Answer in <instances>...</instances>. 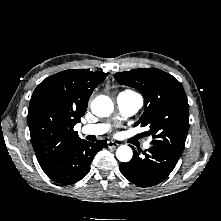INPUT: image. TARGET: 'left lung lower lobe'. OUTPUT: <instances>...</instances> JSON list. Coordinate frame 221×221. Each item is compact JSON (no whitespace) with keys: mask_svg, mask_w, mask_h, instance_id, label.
I'll return each mask as SVG.
<instances>
[{"mask_svg":"<svg viewBox=\"0 0 221 221\" xmlns=\"http://www.w3.org/2000/svg\"><path fill=\"white\" fill-rule=\"evenodd\" d=\"M130 162L120 163L121 173L132 183L140 187H150L162 182L172 172L180 156L164 148L152 146L139 156V150L133 148Z\"/></svg>","mask_w":221,"mask_h":221,"instance_id":"1","label":"left lung lower lobe"}]
</instances>
